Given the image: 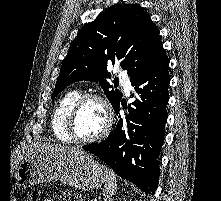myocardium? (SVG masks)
Masks as SVG:
<instances>
[{
    "label": "myocardium",
    "instance_id": "myocardium-1",
    "mask_svg": "<svg viewBox=\"0 0 221 201\" xmlns=\"http://www.w3.org/2000/svg\"><path fill=\"white\" fill-rule=\"evenodd\" d=\"M90 100H96L102 104L105 110L106 122L103 130L97 135L90 138H81L76 134L74 125L81 107ZM113 123H114V111L110 101L102 94L90 92L82 94L71 107L67 117L66 129L68 135L70 136L73 142L80 144H90L97 142L103 139L105 136H107L113 126Z\"/></svg>",
    "mask_w": 221,
    "mask_h": 201
}]
</instances>
